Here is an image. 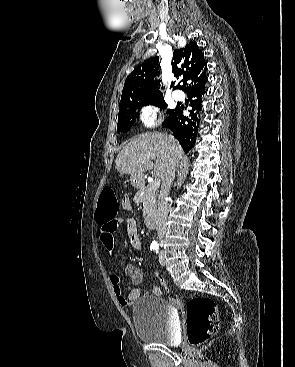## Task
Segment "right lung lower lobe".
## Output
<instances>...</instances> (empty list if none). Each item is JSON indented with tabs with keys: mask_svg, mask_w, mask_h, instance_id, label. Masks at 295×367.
Segmentation results:
<instances>
[{
	"mask_svg": "<svg viewBox=\"0 0 295 367\" xmlns=\"http://www.w3.org/2000/svg\"><path fill=\"white\" fill-rule=\"evenodd\" d=\"M205 84L192 88L187 92L191 99L189 111L190 116L183 115L184 106H177L166 118L162 127H168L176 139L180 142L185 152H188L194 145L200 122L199 112L201 110L202 97L205 94Z\"/></svg>",
	"mask_w": 295,
	"mask_h": 367,
	"instance_id": "right-lung-lower-lobe-1",
	"label": "right lung lower lobe"
}]
</instances>
